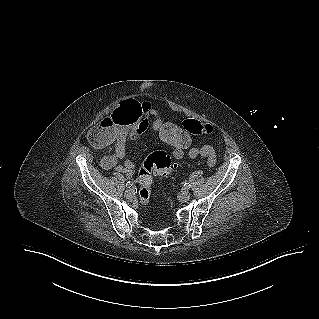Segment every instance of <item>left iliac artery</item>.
<instances>
[{
  "mask_svg": "<svg viewBox=\"0 0 319 319\" xmlns=\"http://www.w3.org/2000/svg\"><path fill=\"white\" fill-rule=\"evenodd\" d=\"M190 186H191V185H190L189 183H186V182H185L184 185H183V187H184L185 189H189Z\"/></svg>",
  "mask_w": 319,
  "mask_h": 319,
  "instance_id": "left-iliac-artery-1",
  "label": "left iliac artery"
}]
</instances>
